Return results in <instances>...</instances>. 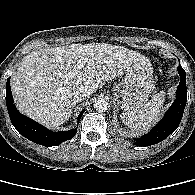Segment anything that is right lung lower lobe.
Returning <instances> with one entry per match:
<instances>
[{
    "mask_svg": "<svg viewBox=\"0 0 195 195\" xmlns=\"http://www.w3.org/2000/svg\"><path fill=\"white\" fill-rule=\"evenodd\" d=\"M6 105L13 126L20 134L32 142L50 147L72 139L75 136L76 129L64 132H53L33 121L32 119L22 115L17 110L13 102L10 88V78L7 79L6 84ZM83 113L84 110L79 114L78 120H80Z\"/></svg>",
    "mask_w": 195,
    "mask_h": 195,
    "instance_id": "obj_1",
    "label": "right lung lower lobe"
}]
</instances>
